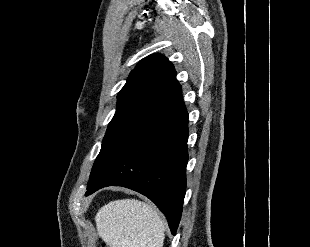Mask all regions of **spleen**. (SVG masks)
I'll list each match as a JSON object with an SVG mask.
<instances>
[{
  "label": "spleen",
  "mask_w": 310,
  "mask_h": 247,
  "mask_svg": "<svg viewBox=\"0 0 310 247\" xmlns=\"http://www.w3.org/2000/svg\"><path fill=\"white\" fill-rule=\"evenodd\" d=\"M95 222L99 236L110 247H163L165 225L145 202L112 201L98 211Z\"/></svg>",
  "instance_id": "spleen-1"
}]
</instances>
